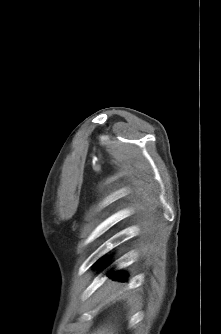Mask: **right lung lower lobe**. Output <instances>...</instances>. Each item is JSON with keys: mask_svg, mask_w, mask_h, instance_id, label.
<instances>
[{"mask_svg": "<svg viewBox=\"0 0 221 334\" xmlns=\"http://www.w3.org/2000/svg\"><path fill=\"white\" fill-rule=\"evenodd\" d=\"M110 276L113 277V278H116V279H120V280H124L125 279L124 274H120L119 272L112 273Z\"/></svg>", "mask_w": 221, "mask_h": 334, "instance_id": "98d812e1", "label": "right lung lower lobe"}]
</instances>
